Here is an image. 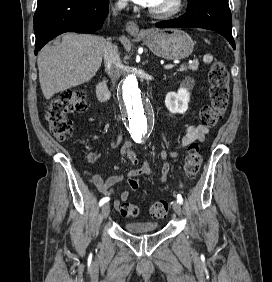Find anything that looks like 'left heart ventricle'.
Wrapping results in <instances>:
<instances>
[{"instance_id":"1","label":"left heart ventricle","mask_w":272,"mask_h":282,"mask_svg":"<svg viewBox=\"0 0 272 282\" xmlns=\"http://www.w3.org/2000/svg\"><path fill=\"white\" fill-rule=\"evenodd\" d=\"M177 0H153L150 8L156 11H169L176 6Z\"/></svg>"}]
</instances>
